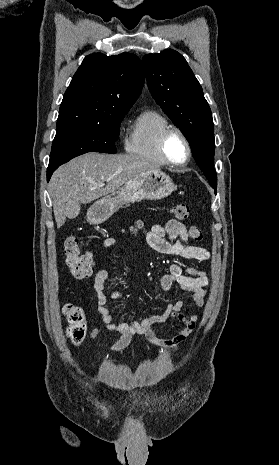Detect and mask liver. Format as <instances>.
<instances>
[{
	"mask_svg": "<svg viewBox=\"0 0 279 465\" xmlns=\"http://www.w3.org/2000/svg\"><path fill=\"white\" fill-rule=\"evenodd\" d=\"M157 171L145 158L132 155L86 153L60 166L49 182L57 228L66 221L65 205L87 204L115 192L135 176ZM107 182L103 187L101 184Z\"/></svg>",
	"mask_w": 279,
	"mask_h": 465,
	"instance_id": "6515ba94",
	"label": "liver"
}]
</instances>
